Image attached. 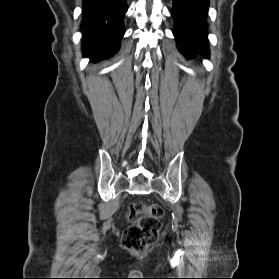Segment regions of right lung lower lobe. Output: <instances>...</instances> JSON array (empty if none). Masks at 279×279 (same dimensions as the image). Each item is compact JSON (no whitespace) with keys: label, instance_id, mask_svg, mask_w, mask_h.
I'll return each instance as SVG.
<instances>
[{"label":"right lung lower lobe","instance_id":"98d812e1","mask_svg":"<svg viewBox=\"0 0 279 279\" xmlns=\"http://www.w3.org/2000/svg\"><path fill=\"white\" fill-rule=\"evenodd\" d=\"M127 9L126 0H83L84 57L100 60L118 51Z\"/></svg>","mask_w":279,"mask_h":279}]
</instances>
